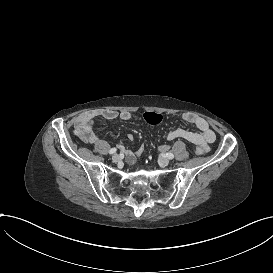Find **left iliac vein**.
I'll use <instances>...</instances> for the list:
<instances>
[{
  "instance_id": "obj_1",
  "label": "left iliac vein",
  "mask_w": 273,
  "mask_h": 273,
  "mask_svg": "<svg viewBox=\"0 0 273 273\" xmlns=\"http://www.w3.org/2000/svg\"><path fill=\"white\" fill-rule=\"evenodd\" d=\"M158 162L162 166H167L169 164V160L167 158H160Z\"/></svg>"
}]
</instances>
